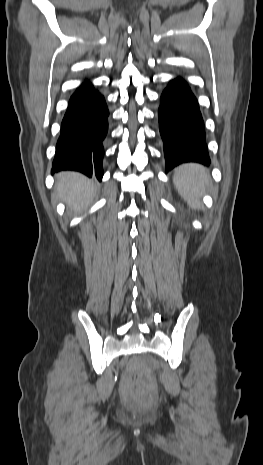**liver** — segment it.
I'll return each mask as SVG.
<instances>
[{
  "label": "liver",
  "mask_w": 263,
  "mask_h": 465,
  "mask_svg": "<svg viewBox=\"0 0 263 465\" xmlns=\"http://www.w3.org/2000/svg\"><path fill=\"white\" fill-rule=\"evenodd\" d=\"M56 195L68 208L80 212L92 202L96 195L93 181L76 172H61L56 175Z\"/></svg>",
  "instance_id": "1"
}]
</instances>
